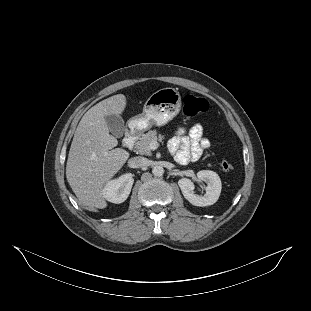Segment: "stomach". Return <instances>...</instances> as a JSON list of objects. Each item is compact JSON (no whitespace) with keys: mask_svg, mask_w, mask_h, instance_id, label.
Returning a JSON list of instances; mask_svg holds the SVG:
<instances>
[{"mask_svg":"<svg viewBox=\"0 0 311 311\" xmlns=\"http://www.w3.org/2000/svg\"><path fill=\"white\" fill-rule=\"evenodd\" d=\"M181 107V95L175 88L159 89L146 100L141 114L128 119L127 128L132 134H137L148 131L152 126H164L179 114Z\"/></svg>","mask_w":311,"mask_h":311,"instance_id":"1","label":"stomach"}]
</instances>
